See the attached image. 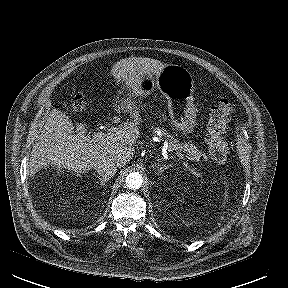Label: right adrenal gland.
<instances>
[{"instance_id":"2a0ac1e0","label":"right adrenal gland","mask_w":288,"mask_h":288,"mask_svg":"<svg viewBox=\"0 0 288 288\" xmlns=\"http://www.w3.org/2000/svg\"><path fill=\"white\" fill-rule=\"evenodd\" d=\"M93 176H95L96 178H98V180L100 181L101 187H102L103 185H105L106 181H109V178H107V179L101 178L100 176L96 175L95 173H93Z\"/></svg>"}]
</instances>
